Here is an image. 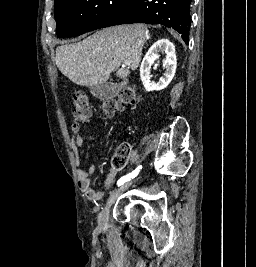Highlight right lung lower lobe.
<instances>
[{"mask_svg":"<svg viewBox=\"0 0 256 267\" xmlns=\"http://www.w3.org/2000/svg\"><path fill=\"white\" fill-rule=\"evenodd\" d=\"M192 0H136L128 9L103 27L129 23L162 24L182 34L189 43Z\"/></svg>","mask_w":256,"mask_h":267,"instance_id":"right-lung-lower-lobe-1","label":"right lung lower lobe"}]
</instances>
